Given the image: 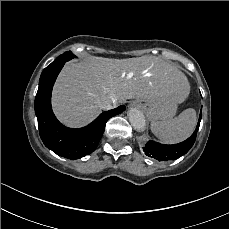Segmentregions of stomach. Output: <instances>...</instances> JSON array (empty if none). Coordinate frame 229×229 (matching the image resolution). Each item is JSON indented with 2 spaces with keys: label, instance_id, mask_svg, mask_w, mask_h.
Here are the masks:
<instances>
[{
  "label": "stomach",
  "instance_id": "obj_1",
  "mask_svg": "<svg viewBox=\"0 0 229 229\" xmlns=\"http://www.w3.org/2000/svg\"><path fill=\"white\" fill-rule=\"evenodd\" d=\"M184 101V100H183ZM182 102V101H181ZM181 102H172L166 100H146L139 99L137 108L141 109L147 118L151 121H166L172 119L177 110V104Z\"/></svg>",
  "mask_w": 229,
  "mask_h": 229
}]
</instances>
